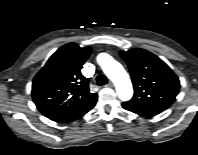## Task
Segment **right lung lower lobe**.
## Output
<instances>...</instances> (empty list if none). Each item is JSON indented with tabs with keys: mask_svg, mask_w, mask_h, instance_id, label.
Wrapping results in <instances>:
<instances>
[{
	"mask_svg": "<svg viewBox=\"0 0 198 155\" xmlns=\"http://www.w3.org/2000/svg\"><path fill=\"white\" fill-rule=\"evenodd\" d=\"M95 104H96V101L93 102L91 105H89L87 108L83 109L81 112L77 113L76 115L66 118V119L60 121L59 123L71 122V121H74V120L80 118L85 113H87L89 110H91L95 106Z\"/></svg>",
	"mask_w": 198,
	"mask_h": 155,
	"instance_id": "right-lung-lower-lobe-1",
	"label": "right lung lower lobe"
}]
</instances>
